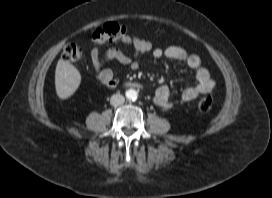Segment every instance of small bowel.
<instances>
[{
  "label": "small bowel",
  "instance_id": "obj_1",
  "mask_svg": "<svg viewBox=\"0 0 272 198\" xmlns=\"http://www.w3.org/2000/svg\"><path fill=\"white\" fill-rule=\"evenodd\" d=\"M121 42L126 46L131 54L122 49L112 47L101 53L95 47L91 51V62L96 79L103 86L112 89L119 83V71L117 69L104 68L103 65L109 60H116L129 70H138L142 63L140 58L151 55L155 59H168L184 63L191 69L195 76L196 84L185 88L180 94L181 102H190L200 95L209 93L215 86V81L211 78L209 71L202 66L200 58L188 53L181 47L168 46L166 48H153L151 43L138 37L125 36ZM153 102L160 108L170 109L173 107L172 91L167 85H162L155 91Z\"/></svg>",
  "mask_w": 272,
  "mask_h": 198
}]
</instances>
